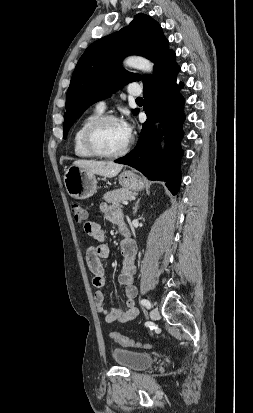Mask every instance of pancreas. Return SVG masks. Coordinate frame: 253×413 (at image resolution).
Masks as SVG:
<instances>
[{
    "mask_svg": "<svg viewBox=\"0 0 253 413\" xmlns=\"http://www.w3.org/2000/svg\"><path fill=\"white\" fill-rule=\"evenodd\" d=\"M132 192L125 189H116L104 194L103 199L112 205L120 206V202L129 200L132 197Z\"/></svg>",
    "mask_w": 253,
    "mask_h": 413,
    "instance_id": "cf45deb5",
    "label": "pancreas"
}]
</instances>
